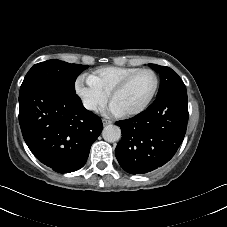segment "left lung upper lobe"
Wrapping results in <instances>:
<instances>
[{
	"instance_id": "1",
	"label": "left lung upper lobe",
	"mask_w": 227,
	"mask_h": 227,
	"mask_svg": "<svg viewBox=\"0 0 227 227\" xmlns=\"http://www.w3.org/2000/svg\"><path fill=\"white\" fill-rule=\"evenodd\" d=\"M149 66L160 74V87L157 98L169 92H187L186 87L175 71L169 67L149 64Z\"/></svg>"
}]
</instances>
